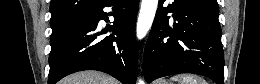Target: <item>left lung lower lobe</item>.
Masks as SVG:
<instances>
[{
  "mask_svg": "<svg viewBox=\"0 0 260 84\" xmlns=\"http://www.w3.org/2000/svg\"><path fill=\"white\" fill-rule=\"evenodd\" d=\"M159 6L144 51L148 83L179 73H195L224 84V54L217 0H174ZM168 13H172L170 20Z\"/></svg>",
  "mask_w": 260,
  "mask_h": 84,
  "instance_id": "obj_1",
  "label": "left lung lower lobe"
}]
</instances>
